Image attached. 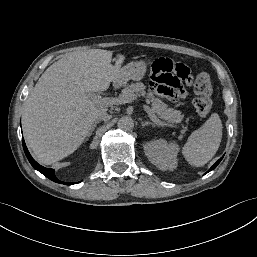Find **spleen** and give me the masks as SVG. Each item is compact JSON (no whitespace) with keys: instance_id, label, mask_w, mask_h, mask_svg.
I'll return each mask as SVG.
<instances>
[{"instance_id":"obj_1","label":"spleen","mask_w":257,"mask_h":257,"mask_svg":"<svg viewBox=\"0 0 257 257\" xmlns=\"http://www.w3.org/2000/svg\"><path fill=\"white\" fill-rule=\"evenodd\" d=\"M222 122L213 113L197 130L193 131L182 148V153L190 165L201 167L216 154L222 139Z\"/></svg>"}]
</instances>
